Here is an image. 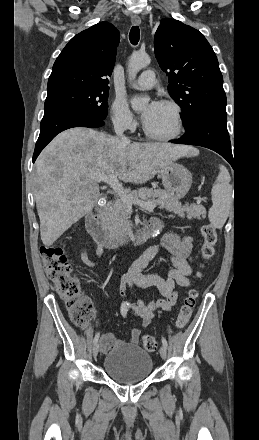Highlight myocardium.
<instances>
[{
  "mask_svg": "<svg viewBox=\"0 0 259 440\" xmlns=\"http://www.w3.org/2000/svg\"><path fill=\"white\" fill-rule=\"evenodd\" d=\"M160 104L168 106L172 109L174 114V130L168 135H157L152 133L144 124L143 132L144 134L151 140L160 141V142H168L176 139L183 130V115L182 109L180 105L173 100H162Z\"/></svg>",
  "mask_w": 259,
  "mask_h": 440,
  "instance_id": "1",
  "label": "myocardium"
}]
</instances>
